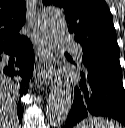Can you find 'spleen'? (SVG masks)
<instances>
[{"mask_svg":"<svg viewBox=\"0 0 125 128\" xmlns=\"http://www.w3.org/2000/svg\"><path fill=\"white\" fill-rule=\"evenodd\" d=\"M76 128H122V126L112 120L109 121L100 117H88L80 122Z\"/></svg>","mask_w":125,"mask_h":128,"instance_id":"1","label":"spleen"}]
</instances>
